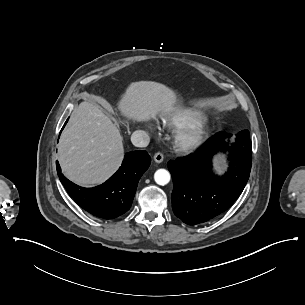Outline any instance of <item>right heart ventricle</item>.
I'll return each instance as SVG.
<instances>
[{
	"instance_id": "1",
	"label": "right heart ventricle",
	"mask_w": 305,
	"mask_h": 305,
	"mask_svg": "<svg viewBox=\"0 0 305 305\" xmlns=\"http://www.w3.org/2000/svg\"><path fill=\"white\" fill-rule=\"evenodd\" d=\"M206 118V113L195 108H184L172 112L161 118L163 128L178 131L185 125Z\"/></svg>"
}]
</instances>
